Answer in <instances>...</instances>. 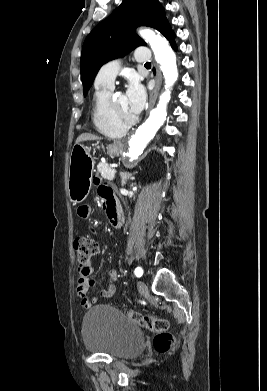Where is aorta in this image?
Here are the masks:
<instances>
[{
  "mask_svg": "<svg viewBox=\"0 0 267 391\" xmlns=\"http://www.w3.org/2000/svg\"><path fill=\"white\" fill-rule=\"evenodd\" d=\"M139 34L150 45L157 62L160 64V70L165 80V91L160 95L157 107L150 112L148 119L132 135L127 152L129 158L139 156L165 122L171 88L178 79L176 55L166 39L150 29L140 30Z\"/></svg>",
  "mask_w": 267,
  "mask_h": 391,
  "instance_id": "aorta-1",
  "label": "aorta"
}]
</instances>
